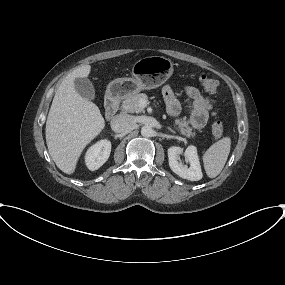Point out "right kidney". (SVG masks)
<instances>
[{
    "label": "right kidney",
    "mask_w": 285,
    "mask_h": 285,
    "mask_svg": "<svg viewBox=\"0 0 285 285\" xmlns=\"http://www.w3.org/2000/svg\"><path fill=\"white\" fill-rule=\"evenodd\" d=\"M111 142L104 139L92 145L86 152L85 162L89 170L99 169L109 158Z\"/></svg>",
    "instance_id": "obj_1"
}]
</instances>
